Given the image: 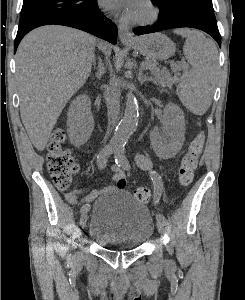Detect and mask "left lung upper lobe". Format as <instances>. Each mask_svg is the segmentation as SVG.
Listing matches in <instances>:
<instances>
[{
  "label": "left lung upper lobe",
  "mask_w": 245,
  "mask_h": 300,
  "mask_svg": "<svg viewBox=\"0 0 245 300\" xmlns=\"http://www.w3.org/2000/svg\"><path fill=\"white\" fill-rule=\"evenodd\" d=\"M159 7L160 14H166L176 5H193L214 11L212 0H152Z\"/></svg>",
  "instance_id": "5c2ea615"
}]
</instances>
